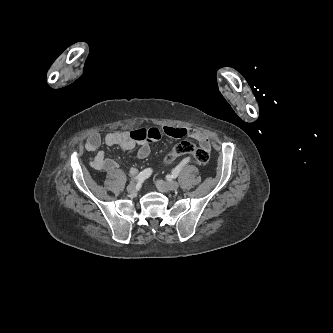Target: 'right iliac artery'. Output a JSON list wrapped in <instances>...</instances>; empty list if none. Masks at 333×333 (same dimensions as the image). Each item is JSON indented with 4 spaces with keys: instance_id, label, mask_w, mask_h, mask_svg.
Masks as SVG:
<instances>
[{
    "instance_id": "right-iliac-artery-1",
    "label": "right iliac artery",
    "mask_w": 333,
    "mask_h": 333,
    "mask_svg": "<svg viewBox=\"0 0 333 333\" xmlns=\"http://www.w3.org/2000/svg\"><path fill=\"white\" fill-rule=\"evenodd\" d=\"M152 174V169L151 168H147L145 170H143L142 172H140L135 178L134 180L142 182L144 181L146 178H148L150 175Z\"/></svg>"
}]
</instances>
